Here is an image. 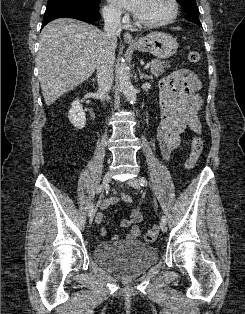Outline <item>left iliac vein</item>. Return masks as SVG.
<instances>
[{
    "mask_svg": "<svg viewBox=\"0 0 245 314\" xmlns=\"http://www.w3.org/2000/svg\"><path fill=\"white\" fill-rule=\"evenodd\" d=\"M127 184L135 189H140V183L136 178H131L127 181ZM160 228L162 230V232H166L167 231V226L166 223H164L162 220L160 222Z\"/></svg>",
    "mask_w": 245,
    "mask_h": 314,
    "instance_id": "left-iliac-vein-1",
    "label": "left iliac vein"
}]
</instances>
